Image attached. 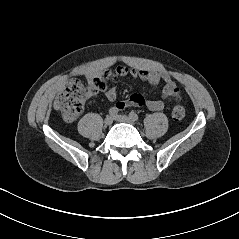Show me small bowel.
I'll use <instances>...</instances> for the list:
<instances>
[{"label": "small bowel", "instance_id": "c3829d8e", "mask_svg": "<svg viewBox=\"0 0 239 239\" xmlns=\"http://www.w3.org/2000/svg\"><path fill=\"white\" fill-rule=\"evenodd\" d=\"M130 75L135 79L145 81L149 85H157L163 83L161 99H145L139 94H134L129 97L127 101H119L115 104L114 108L118 111L126 108L127 106H145L152 111H161L165 107L166 102L174 100L179 95V88L167 73H159L148 71L145 69H130L126 66H118L114 71H106L101 74L94 73L86 76L90 87V95H95L99 92L96 81L100 80H116L121 77ZM105 97L114 102L117 99V91L115 87H104Z\"/></svg>", "mask_w": 239, "mask_h": 239}]
</instances>
